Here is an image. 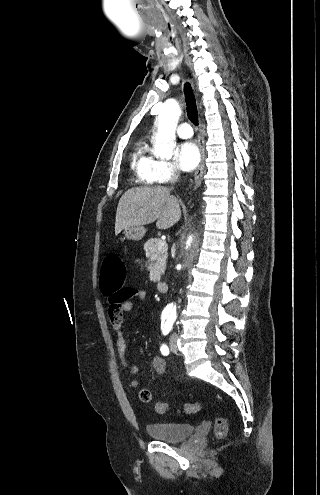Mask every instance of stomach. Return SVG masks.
Wrapping results in <instances>:
<instances>
[{
	"label": "stomach",
	"instance_id": "stomach-1",
	"mask_svg": "<svg viewBox=\"0 0 320 495\" xmlns=\"http://www.w3.org/2000/svg\"><path fill=\"white\" fill-rule=\"evenodd\" d=\"M145 232L146 229L143 226H130L124 230L126 238L135 241L141 240Z\"/></svg>",
	"mask_w": 320,
	"mask_h": 495
}]
</instances>
